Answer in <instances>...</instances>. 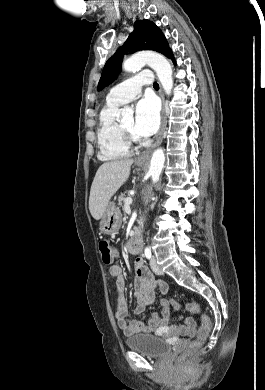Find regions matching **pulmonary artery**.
Listing matches in <instances>:
<instances>
[{
    "label": "pulmonary artery",
    "instance_id": "1",
    "mask_svg": "<svg viewBox=\"0 0 265 390\" xmlns=\"http://www.w3.org/2000/svg\"><path fill=\"white\" fill-rule=\"evenodd\" d=\"M152 78L150 71H143L124 80L110 90L107 101L122 105L136 99L141 93V87L150 85Z\"/></svg>",
    "mask_w": 265,
    "mask_h": 390
}]
</instances>
